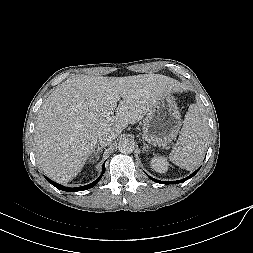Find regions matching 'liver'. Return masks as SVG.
I'll return each mask as SVG.
<instances>
[{"mask_svg": "<svg viewBox=\"0 0 253 253\" xmlns=\"http://www.w3.org/2000/svg\"><path fill=\"white\" fill-rule=\"evenodd\" d=\"M180 88L177 80L160 74L67 79L39 111L34 131L37 164L53 180L68 182L96 148L99 132L108 130L118 136L165 93ZM115 109V115H106Z\"/></svg>", "mask_w": 253, "mask_h": 253, "instance_id": "6515ba94", "label": "liver"}]
</instances>
